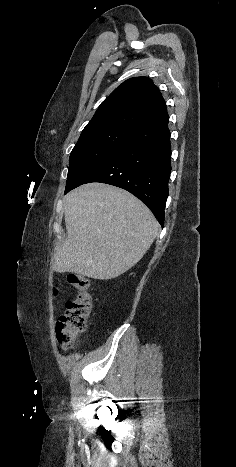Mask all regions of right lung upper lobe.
I'll use <instances>...</instances> for the list:
<instances>
[{
    "instance_id": "right-lung-upper-lobe-1",
    "label": "right lung upper lobe",
    "mask_w": 236,
    "mask_h": 467,
    "mask_svg": "<svg viewBox=\"0 0 236 467\" xmlns=\"http://www.w3.org/2000/svg\"><path fill=\"white\" fill-rule=\"evenodd\" d=\"M169 119L160 90L148 77H134L119 85L99 106L85 129L116 125L137 132Z\"/></svg>"
}]
</instances>
